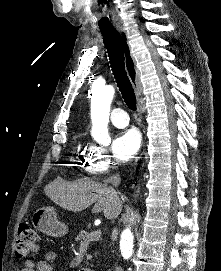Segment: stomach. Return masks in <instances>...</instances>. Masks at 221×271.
Returning a JSON list of instances; mask_svg holds the SVG:
<instances>
[{
	"label": "stomach",
	"mask_w": 221,
	"mask_h": 271,
	"mask_svg": "<svg viewBox=\"0 0 221 271\" xmlns=\"http://www.w3.org/2000/svg\"><path fill=\"white\" fill-rule=\"evenodd\" d=\"M32 223L34 227H37L46 235H51V237H58V235L68 231L67 225L57 221L54 207H40V209H36L32 215Z\"/></svg>",
	"instance_id": "stomach-1"
}]
</instances>
